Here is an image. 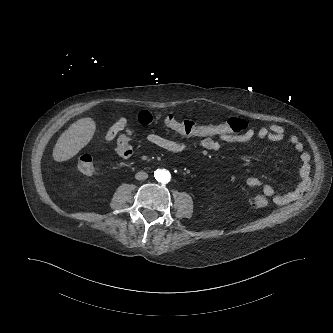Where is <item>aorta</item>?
<instances>
[{"instance_id":"1","label":"aorta","mask_w":333,"mask_h":333,"mask_svg":"<svg viewBox=\"0 0 333 333\" xmlns=\"http://www.w3.org/2000/svg\"><path fill=\"white\" fill-rule=\"evenodd\" d=\"M155 176L157 181L161 183H167L170 180V174L165 170L156 171Z\"/></svg>"}]
</instances>
